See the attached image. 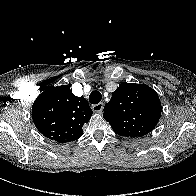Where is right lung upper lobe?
I'll return each mask as SVG.
<instances>
[{
	"instance_id": "right-lung-upper-lobe-1",
	"label": "right lung upper lobe",
	"mask_w": 196,
	"mask_h": 196,
	"mask_svg": "<svg viewBox=\"0 0 196 196\" xmlns=\"http://www.w3.org/2000/svg\"><path fill=\"white\" fill-rule=\"evenodd\" d=\"M92 110L87 100L75 96L67 85L41 93L32 107L33 122L40 133L58 143L77 140Z\"/></svg>"
}]
</instances>
